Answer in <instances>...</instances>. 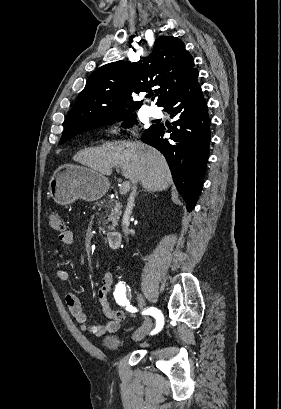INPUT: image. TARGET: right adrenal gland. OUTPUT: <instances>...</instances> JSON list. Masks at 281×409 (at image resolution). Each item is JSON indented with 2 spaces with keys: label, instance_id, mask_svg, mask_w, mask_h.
I'll return each mask as SVG.
<instances>
[{
  "label": "right adrenal gland",
  "instance_id": "right-adrenal-gland-1",
  "mask_svg": "<svg viewBox=\"0 0 281 409\" xmlns=\"http://www.w3.org/2000/svg\"><path fill=\"white\" fill-rule=\"evenodd\" d=\"M146 192H155V190H152V188H146Z\"/></svg>",
  "mask_w": 281,
  "mask_h": 409
}]
</instances>
